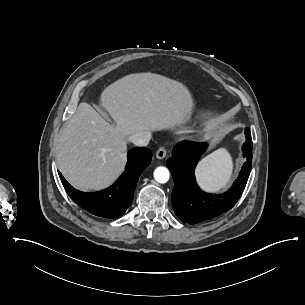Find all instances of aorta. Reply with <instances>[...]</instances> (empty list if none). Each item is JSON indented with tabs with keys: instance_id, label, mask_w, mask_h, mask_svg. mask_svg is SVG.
<instances>
[{
	"instance_id": "aorta-1",
	"label": "aorta",
	"mask_w": 305,
	"mask_h": 305,
	"mask_svg": "<svg viewBox=\"0 0 305 305\" xmlns=\"http://www.w3.org/2000/svg\"><path fill=\"white\" fill-rule=\"evenodd\" d=\"M154 178L158 183H166L170 178L169 170L160 166L154 170Z\"/></svg>"
}]
</instances>
